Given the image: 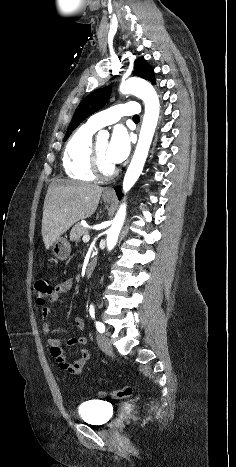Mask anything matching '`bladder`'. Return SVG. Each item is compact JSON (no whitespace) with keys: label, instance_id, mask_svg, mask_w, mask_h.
<instances>
[{"label":"bladder","instance_id":"bladder-1","mask_svg":"<svg viewBox=\"0 0 236 467\" xmlns=\"http://www.w3.org/2000/svg\"><path fill=\"white\" fill-rule=\"evenodd\" d=\"M112 404L103 400H89L78 407V418L94 425L107 423V416L112 412Z\"/></svg>","mask_w":236,"mask_h":467}]
</instances>
